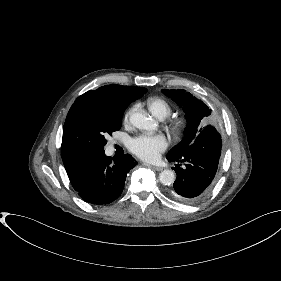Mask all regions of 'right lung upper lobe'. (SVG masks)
I'll use <instances>...</instances> for the list:
<instances>
[{
	"mask_svg": "<svg viewBox=\"0 0 281 281\" xmlns=\"http://www.w3.org/2000/svg\"><path fill=\"white\" fill-rule=\"evenodd\" d=\"M146 92L147 89L142 87L111 84L100 87L97 90H90L87 93L111 104L128 106L131 102L139 99Z\"/></svg>",
	"mask_w": 281,
	"mask_h": 281,
	"instance_id": "right-lung-upper-lobe-1",
	"label": "right lung upper lobe"
}]
</instances>
